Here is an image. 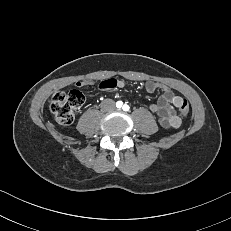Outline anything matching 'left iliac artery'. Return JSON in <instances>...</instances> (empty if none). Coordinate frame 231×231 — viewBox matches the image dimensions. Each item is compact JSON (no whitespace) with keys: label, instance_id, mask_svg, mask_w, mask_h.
<instances>
[{"label":"left iliac artery","instance_id":"left-iliac-artery-1","mask_svg":"<svg viewBox=\"0 0 231 231\" xmlns=\"http://www.w3.org/2000/svg\"><path fill=\"white\" fill-rule=\"evenodd\" d=\"M122 109H123L124 111H128V110H129V106H128L127 104H125V105H123Z\"/></svg>","mask_w":231,"mask_h":231}]
</instances>
